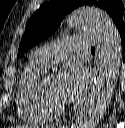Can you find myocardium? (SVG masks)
<instances>
[{
  "instance_id": "f54148a6",
  "label": "myocardium",
  "mask_w": 125,
  "mask_h": 128,
  "mask_svg": "<svg viewBox=\"0 0 125 128\" xmlns=\"http://www.w3.org/2000/svg\"><path fill=\"white\" fill-rule=\"evenodd\" d=\"M37 93L42 106L53 116L61 115L66 110V105L50 99L43 89V81L37 86Z\"/></svg>"
}]
</instances>
